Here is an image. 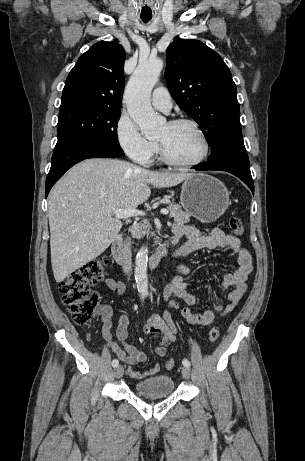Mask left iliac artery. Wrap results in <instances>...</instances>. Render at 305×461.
Listing matches in <instances>:
<instances>
[{
	"mask_svg": "<svg viewBox=\"0 0 305 461\" xmlns=\"http://www.w3.org/2000/svg\"><path fill=\"white\" fill-rule=\"evenodd\" d=\"M182 363H183V365H184V366H186V367H190V362H189V360H188V359H186V358H185V359H183Z\"/></svg>",
	"mask_w": 305,
	"mask_h": 461,
	"instance_id": "44dca946",
	"label": "left iliac artery"
}]
</instances>
